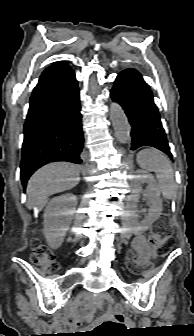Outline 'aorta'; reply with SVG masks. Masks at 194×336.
Returning <instances> with one entry per match:
<instances>
[{
    "mask_svg": "<svg viewBox=\"0 0 194 336\" xmlns=\"http://www.w3.org/2000/svg\"><path fill=\"white\" fill-rule=\"evenodd\" d=\"M110 120L114 128L115 136L122 144L130 140V124L122 107L117 102L110 105Z\"/></svg>",
    "mask_w": 194,
    "mask_h": 336,
    "instance_id": "obj_1",
    "label": "aorta"
}]
</instances>
